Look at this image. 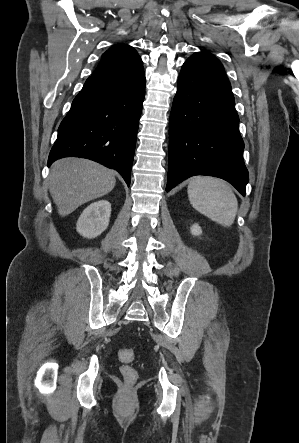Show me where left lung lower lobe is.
Returning <instances> with one entry per match:
<instances>
[{
  "label": "left lung lower lobe",
  "instance_id": "1",
  "mask_svg": "<svg viewBox=\"0 0 299 443\" xmlns=\"http://www.w3.org/2000/svg\"><path fill=\"white\" fill-rule=\"evenodd\" d=\"M227 78L183 64L170 114L166 191L195 175L222 178L243 196L248 171Z\"/></svg>",
  "mask_w": 299,
  "mask_h": 443
}]
</instances>
